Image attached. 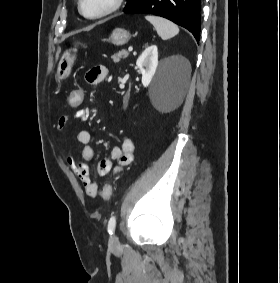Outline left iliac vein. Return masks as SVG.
Returning <instances> with one entry per match:
<instances>
[{"label":"left iliac vein","mask_w":280,"mask_h":283,"mask_svg":"<svg viewBox=\"0 0 280 283\" xmlns=\"http://www.w3.org/2000/svg\"><path fill=\"white\" fill-rule=\"evenodd\" d=\"M109 246L110 248H117L119 246V239L115 234L111 235L109 239Z\"/></svg>","instance_id":"1"}]
</instances>
